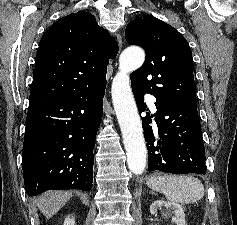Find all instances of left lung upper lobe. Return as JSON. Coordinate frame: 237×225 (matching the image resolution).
<instances>
[{"instance_id":"1","label":"left lung upper lobe","mask_w":237,"mask_h":225,"mask_svg":"<svg viewBox=\"0 0 237 225\" xmlns=\"http://www.w3.org/2000/svg\"><path fill=\"white\" fill-rule=\"evenodd\" d=\"M128 43L146 52L144 64L131 74V85L166 102H196L192 52L172 26L149 15L126 26Z\"/></svg>"}]
</instances>
